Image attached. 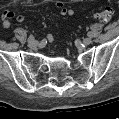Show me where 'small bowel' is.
Listing matches in <instances>:
<instances>
[{"label":"small bowel","instance_id":"small-bowel-1","mask_svg":"<svg viewBox=\"0 0 119 119\" xmlns=\"http://www.w3.org/2000/svg\"><path fill=\"white\" fill-rule=\"evenodd\" d=\"M55 6L59 10L60 14L63 15V16L73 15V11L71 9H67L63 2L58 1V2L55 3ZM14 16L15 15L12 11L7 10V11L3 12V14H2L3 22H2V24H3L4 28H9L11 26V20L14 18ZM16 20L18 22H22V21H24V16L18 15L16 17ZM48 41L50 43L53 42V36L51 34L48 36Z\"/></svg>","mask_w":119,"mask_h":119}]
</instances>
